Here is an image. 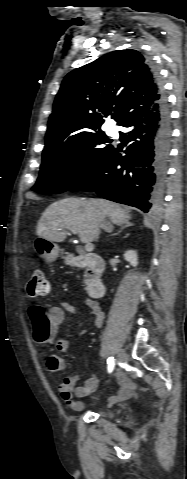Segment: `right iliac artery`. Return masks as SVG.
<instances>
[{"label": "right iliac artery", "instance_id": "right-iliac-artery-1", "mask_svg": "<svg viewBox=\"0 0 187 479\" xmlns=\"http://www.w3.org/2000/svg\"><path fill=\"white\" fill-rule=\"evenodd\" d=\"M107 363H108V372L111 373L114 369V365H115V360L113 357H109L108 360H107Z\"/></svg>", "mask_w": 187, "mask_h": 479}]
</instances>
